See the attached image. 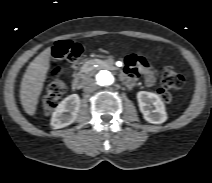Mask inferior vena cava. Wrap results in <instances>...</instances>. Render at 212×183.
<instances>
[{"label":"inferior vena cava","instance_id":"602c4592","mask_svg":"<svg viewBox=\"0 0 212 183\" xmlns=\"http://www.w3.org/2000/svg\"><path fill=\"white\" fill-rule=\"evenodd\" d=\"M97 89V84L94 80L90 79L86 82L84 86V91L87 93H91Z\"/></svg>","mask_w":212,"mask_h":183}]
</instances>
